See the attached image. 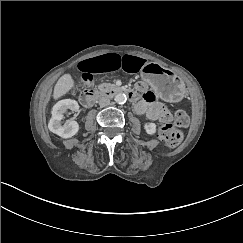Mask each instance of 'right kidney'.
<instances>
[{"label": "right kidney", "mask_w": 243, "mask_h": 243, "mask_svg": "<svg viewBox=\"0 0 243 243\" xmlns=\"http://www.w3.org/2000/svg\"><path fill=\"white\" fill-rule=\"evenodd\" d=\"M68 109L77 110L79 105L74 99H65L59 101L52 111V118L48 124V128L59 137L68 139L77 134L80 130V126L77 121H70L68 124H61V120L64 118V112Z\"/></svg>", "instance_id": "right-kidney-1"}]
</instances>
